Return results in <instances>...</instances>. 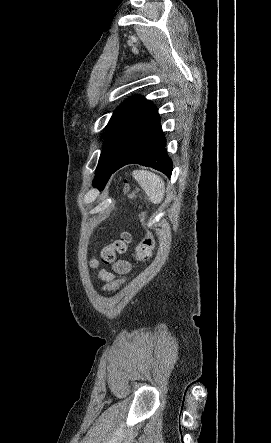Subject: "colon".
<instances>
[{
	"instance_id": "5ec220e1",
	"label": "colon",
	"mask_w": 271,
	"mask_h": 443,
	"mask_svg": "<svg viewBox=\"0 0 271 443\" xmlns=\"http://www.w3.org/2000/svg\"><path fill=\"white\" fill-rule=\"evenodd\" d=\"M124 193L130 199H138L142 201V197L136 189L130 187L128 183L123 186ZM140 217L145 222L147 217V209L144 203L141 205ZM130 234L125 232L119 239L114 240L111 244L105 246L100 252V260L105 264H111L115 261L116 256L119 254H124L130 243ZM155 245V238L150 230H147L145 237L136 246L134 260L136 262H143L150 259L152 251ZM91 265L95 267L97 265V260H92ZM125 282V275H121L115 280L108 282L104 287L103 291L107 293L114 292L118 290L121 285Z\"/></svg>"
}]
</instances>
